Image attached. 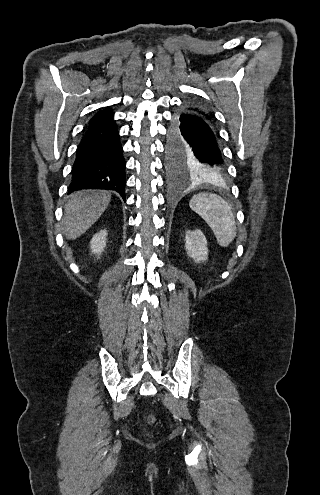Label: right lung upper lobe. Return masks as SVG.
<instances>
[{
	"instance_id": "cb5924a9",
	"label": "right lung upper lobe",
	"mask_w": 320,
	"mask_h": 495,
	"mask_svg": "<svg viewBox=\"0 0 320 495\" xmlns=\"http://www.w3.org/2000/svg\"><path fill=\"white\" fill-rule=\"evenodd\" d=\"M114 115V112L110 108H106L103 110H99L98 112L95 113V115L90 119L89 125L95 124L98 122H101L103 120H107L112 118Z\"/></svg>"
}]
</instances>
